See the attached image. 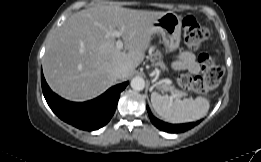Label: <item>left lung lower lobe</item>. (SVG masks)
<instances>
[{
    "instance_id": "obj_1",
    "label": "left lung lower lobe",
    "mask_w": 261,
    "mask_h": 162,
    "mask_svg": "<svg viewBox=\"0 0 261 162\" xmlns=\"http://www.w3.org/2000/svg\"><path fill=\"white\" fill-rule=\"evenodd\" d=\"M147 111L150 117L151 122L160 130H163L165 132H169V133H180V132H184L190 128H193L195 125L199 124L200 121L197 122H191V123H186V124H169L166 122H163L157 118H155L149 107L147 106Z\"/></svg>"
}]
</instances>
